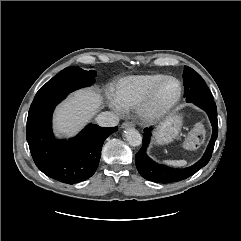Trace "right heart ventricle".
<instances>
[{
    "mask_svg": "<svg viewBox=\"0 0 241 241\" xmlns=\"http://www.w3.org/2000/svg\"><path fill=\"white\" fill-rule=\"evenodd\" d=\"M164 77H166L164 74L159 73L124 77L117 81L113 87L114 99L122 109L135 108Z\"/></svg>",
    "mask_w": 241,
    "mask_h": 241,
    "instance_id": "right-heart-ventricle-1",
    "label": "right heart ventricle"
}]
</instances>
